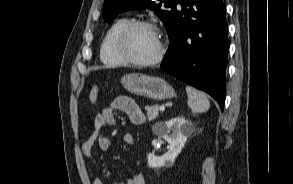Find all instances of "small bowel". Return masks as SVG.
<instances>
[{
    "instance_id": "obj_1",
    "label": "small bowel",
    "mask_w": 293,
    "mask_h": 184,
    "mask_svg": "<svg viewBox=\"0 0 293 184\" xmlns=\"http://www.w3.org/2000/svg\"><path fill=\"white\" fill-rule=\"evenodd\" d=\"M116 111L125 113L132 124L140 125L145 121V114L135 100L127 96H118L114 98L107 107L101 110L94 119V130L90 137L82 144V151L92 166H95L94 147L97 146L101 151H109L111 149V141L103 134V130L107 126L116 124ZM123 140L128 145L134 144V137L131 133H126ZM92 184H104L99 178L95 177ZM115 184H145L142 174L137 173L125 181Z\"/></svg>"
}]
</instances>
